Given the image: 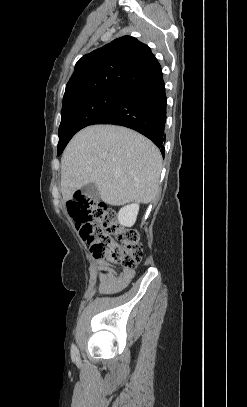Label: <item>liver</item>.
Here are the masks:
<instances>
[{
	"label": "liver",
	"mask_w": 247,
	"mask_h": 407,
	"mask_svg": "<svg viewBox=\"0 0 247 407\" xmlns=\"http://www.w3.org/2000/svg\"><path fill=\"white\" fill-rule=\"evenodd\" d=\"M162 169L159 149L146 137L115 125H92L79 131L61 160L64 200L94 183L110 205L148 204L157 195Z\"/></svg>",
	"instance_id": "liver-1"
}]
</instances>
